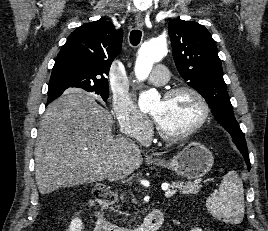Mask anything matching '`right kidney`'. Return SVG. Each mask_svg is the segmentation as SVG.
Masks as SVG:
<instances>
[{
	"mask_svg": "<svg viewBox=\"0 0 268 231\" xmlns=\"http://www.w3.org/2000/svg\"><path fill=\"white\" fill-rule=\"evenodd\" d=\"M83 229L82 221L78 218H74L69 226V231H81Z\"/></svg>",
	"mask_w": 268,
	"mask_h": 231,
	"instance_id": "obj_1",
	"label": "right kidney"
}]
</instances>
